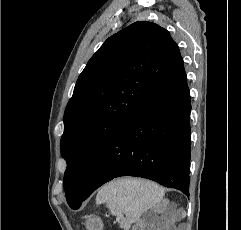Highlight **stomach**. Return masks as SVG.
<instances>
[{
	"mask_svg": "<svg viewBox=\"0 0 241 230\" xmlns=\"http://www.w3.org/2000/svg\"><path fill=\"white\" fill-rule=\"evenodd\" d=\"M85 226L87 230H102L104 225L100 217L90 216L87 218Z\"/></svg>",
	"mask_w": 241,
	"mask_h": 230,
	"instance_id": "1",
	"label": "stomach"
}]
</instances>
